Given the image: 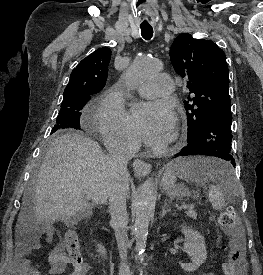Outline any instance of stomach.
Returning <instances> with one entry per match:
<instances>
[{"label": "stomach", "instance_id": "1", "mask_svg": "<svg viewBox=\"0 0 263 275\" xmlns=\"http://www.w3.org/2000/svg\"><path fill=\"white\" fill-rule=\"evenodd\" d=\"M161 186L171 198H183L190 195L189 190L184 185L176 183V173L170 166L163 173Z\"/></svg>", "mask_w": 263, "mask_h": 275}]
</instances>
